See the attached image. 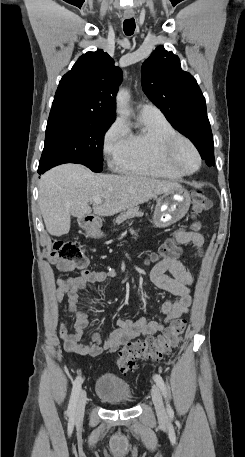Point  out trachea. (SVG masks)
Masks as SVG:
<instances>
[{"label": "trachea", "mask_w": 245, "mask_h": 457, "mask_svg": "<svg viewBox=\"0 0 245 457\" xmlns=\"http://www.w3.org/2000/svg\"><path fill=\"white\" fill-rule=\"evenodd\" d=\"M123 30L126 35H132L135 30V20L134 18H127L123 23Z\"/></svg>", "instance_id": "obj_1"}]
</instances>
